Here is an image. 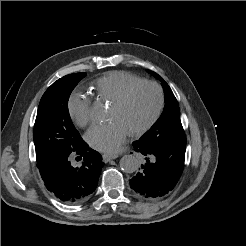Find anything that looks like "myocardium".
Segmentation results:
<instances>
[{"label": "myocardium", "instance_id": "f54148a6", "mask_svg": "<svg viewBox=\"0 0 246 246\" xmlns=\"http://www.w3.org/2000/svg\"><path fill=\"white\" fill-rule=\"evenodd\" d=\"M145 85H149L154 87L157 92H158V105L157 108L155 110V113L153 114V116L151 117V119L144 124L142 127L133 130L130 132V134L132 136H140L143 135L144 133H146L148 130H150L154 124L158 121V119L161 116V113L163 111L164 108V103H165V96H164V91L163 88L160 86V84H158L155 81L152 80H141L137 83H134L130 86H128L113 102L112 105L114 106H121L123 105L128 98L130 97V95L139 87L141 86H145Z\"/></svg>", "mask_w": 246, "mask_h": 246}]
</instances>
